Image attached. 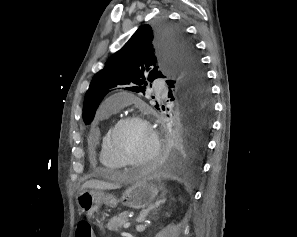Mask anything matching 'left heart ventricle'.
<instances>
[{
	"label": "left heart ventricle",
	"mask_w": 297,
	"mask_h": 237,
	"mask_svg": "<svg viewBox=\"0 0 297 237\" xmlns=\"http://www.w3.org/2000/svg\"><path fill=\"white\" fill-rule=\"evenodd\" d=\"M114 145L125 159L137 161L149 155L153 142L146 126L132 122L116 131Z\"/></svg>",
	"instance_id": "b2bd125f"
}]
</instances>
